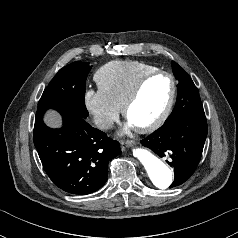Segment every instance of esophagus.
<instances>
[{"instance_id":"obj_1","label":"esophagus","mask_w":238,"mask_h":238,"mask_svg":"<svg viewBox=\"0 0 238 238\" xmlns=\"http://www.w3.org/2000/svg\"><path fill=\"white\" fill-rule=\"evenodd\" d=\"M121 144H122V146L124 147V146H129V145H131L132 144V141H129V140H122L121 141Z\"/></svg>"}]
</instances>
